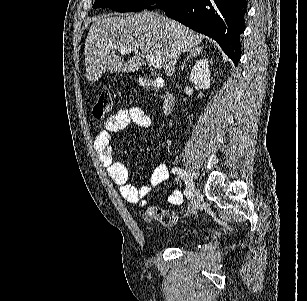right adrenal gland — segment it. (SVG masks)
<instances>
[{
	"label": "right adrenal gland",
	"mask_w": 307,
	"mask_h": 301,
	"mask_svg": "<svg viewBox=\"0 0 307 301\" xmlns=\"http://www.w3.org/2000/svg\"><path fill=\"white\" fill-rule=\"evenodd\" d=\"M201 52H203V46H195V48H191L189 54H187L185 60H183L181 70H184L185 64H186L187 60H189V58H191V56H198V54H201Z\"/></svg>",
	"instance_id": "1"
}]
</instances>
